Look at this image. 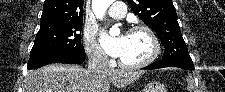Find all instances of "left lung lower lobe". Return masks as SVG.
<instances>
[{"label":"left lung lower lobe","mask_w":225,"mask_h":92,"mask_svg":"<svg viewBox=\"0 0 225 92\" xmlns=\"http://www.w3.org/2000/svg\"><path fill=\"white\" fill-rule=\"evenodd\" d=\"M165 67H179L186 70H193L194 65L192 60H178V61H156L149 66L143 68V69H158V68H165Z\"/></svg>","instance_id":"1"}]
</instances>
